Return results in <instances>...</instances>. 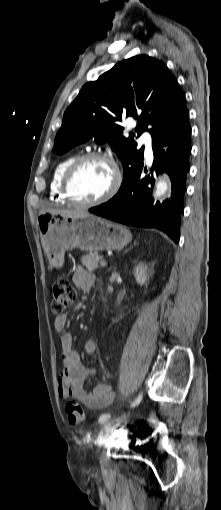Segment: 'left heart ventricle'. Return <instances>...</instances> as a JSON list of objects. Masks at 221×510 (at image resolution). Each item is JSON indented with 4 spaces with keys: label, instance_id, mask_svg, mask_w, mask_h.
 Masks as SVG:
<instances>
[{
    "label": "left heart ventricle",
    "instance_id": "1",
    "mask_svg": "<svg viewBox=\"0 0 221 510\" xmlns=\"http://www.w3.org/2000/svg\"><path fill=\"white\" fill-rule=\"evenodd\" d=\"M114 181L112 167L103 160H89L83 163L76 171L70 190L79 201H93L111 188Z\"/></svg>",
    "mask_w": 221,
    "mask_h": 510
}]
</instances>
